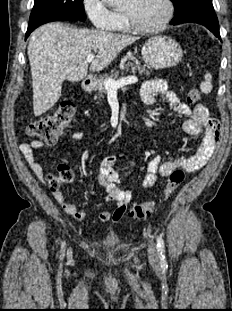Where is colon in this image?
<instances>
[{
    "label": "colon",
    "instance_id": "5ec220e1",
    "mask_svg": "<svg viewBox=\"0 0 232 311\" xmlns=\"http://www.w3.org/2000/svg\"><path fill=\"white\" fill-rule=\"evenodd\" d=\"M200 99V91L191 88L187 93V102L194 104ZM75 114V106L70 101H63L57 109L48 116L36 118L28 126L29 135L39 137L47 143H53L56 138L70 125ZM73 176L69 167L63 166L56 176H49L48 182L52 190H59L63 182L69 181ZM184 179V172L181 169L174 170L168 178L167 185L156 199L135 204L127 211L129 218L141 220L148 217L158 204L169 199Z\"/></svg>",
    "mask_w": 232,
    "mask_h": 311
}]
</instances>
